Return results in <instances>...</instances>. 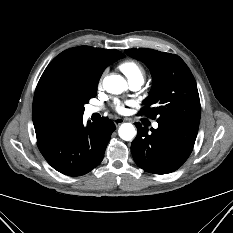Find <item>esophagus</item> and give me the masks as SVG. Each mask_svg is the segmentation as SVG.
<instances>
[{
    "mask_svg": "<svg viewBox=\"0 0 233 233\" xmlns=\"http://www.w3.org/2000/svg\"><path fill=\"white\" fill-rule=\"evenodd\" d=\"M113 122L116 126H119L120 124H122L124 122V120L120 117H116V118H114Z\"/></svg>",
    "mask_w": 233,
    "mask_h": 233,
    "instance_id": "1",
    "label": "esophagus"
}]
</instances>
